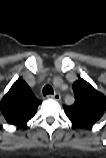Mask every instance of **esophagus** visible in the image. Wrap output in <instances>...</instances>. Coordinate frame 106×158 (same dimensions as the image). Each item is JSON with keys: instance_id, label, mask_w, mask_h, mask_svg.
<instances>
[{"instance_id": "esophagus-1", "label": "esophagus", "mask_w": 106, "mask_h": 158, "mask_svg": "<svg viewBox=\"0 0 106 158\" xmlns=\"http://www.w3.org/2000/svg\"><path fill=\"white\" fill-rule=\"evenodd\" d=\"M47 98H52V99L59 101L61 99V95L59 92H55L54 94L48 95Z\"/></svg>"}]
</instances>
